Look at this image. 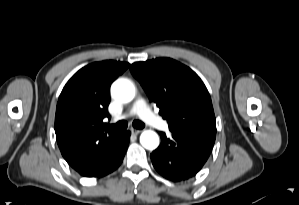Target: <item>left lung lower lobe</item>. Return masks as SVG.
Masks as SVG:
<instances>
[{
	"instance_id": "0a47b994",
	"label": "left lung lower lobe",
	"mask_w": 299,
	"mask_h": 205,
	"mask_svg": "<svg viewBox=\"0 0 299 205\" xmlns=\"http://www.w3.org/2000/svg\"><path fill=\"white\" fill-rule=\"evenodd\" d=\"M172 137L161 135L160 146L151 154L154 168L175 182L196 175L207 161L216 135L190 131H171Z\"/></svg>"
}]
</instances>
